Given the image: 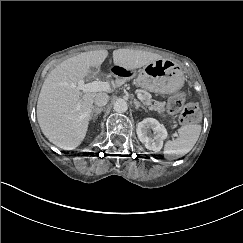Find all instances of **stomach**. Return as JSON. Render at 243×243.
<instances>
[{"instance_id": "1", "label": "stomach", "mask_w": 243, "mask_h": 243, "mask_svg": "<svg viewBox=\"0 0 243 243\" xmlns=\"http://www.w3.org/2000/svg\"><path fill=\"white\" fill-rule=\"evenodd\" d=\"M184 79L183 70L178 65L159 59L139 71L137 84L151 92L172 93L182 88Z\"/></svg>"}]
</instances>
